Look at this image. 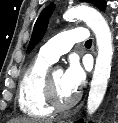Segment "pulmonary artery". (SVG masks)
Masks as SVG:
<instances>
[{
	"instance_id": "e3ab8cb5",
	"label": "pulmonary artery",
	"mask_w": 118,
	"mask_h": 123,
	"mask_svg": "<svg viewBox=\"0 0 118 123\" xmlns=\"http://www.w3.org/2000/svg\"><path fill=\"white\" fill-rule=\"evenodd\" d=\"M87 39V29L75 27L70 30L63 31L49 40L40 48L39 54L50 62H55L61 55L68 52L75 43L85 41Z\"/></svg>"
}]
</instances>
